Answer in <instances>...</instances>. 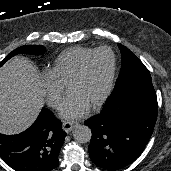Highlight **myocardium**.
<instances>
[{
	"label": "myocardium",
	"instance_id": "1",
	"mask_svg": "<svg viewBox=\"0 0 171 171\" xmlns=\"http://www.w3.org/2000/svg\"><path fill=\"white\" fill-rule=\"evenodd\" d=\"M108 52L111 55L112 58V67H111V72H110V76L108 79V83L106 86V89L104 91V93L102 94V96L91 106L92 109H96L99 106H101L110 96L113 86H114V82H115V77H116V71H117V57L116 54L114 53V51L106 46L103 47H99L97 49H94L82 62L81 64L78 66L77 70L75 71V73L72 75L71 79L68 82V87L75 81H77L78 79H80L82 77V75L85 72V69L88 65V63L90 62V60L98 53L100 52Z\"/></svg>",
	"mask_w": 171,
	"mask_h": 171
}]
</instances>
